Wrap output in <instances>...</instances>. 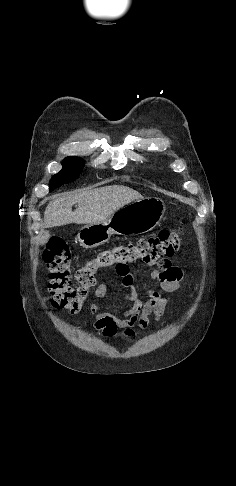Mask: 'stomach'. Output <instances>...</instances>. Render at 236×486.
Wrapping results in <instances>:
<instances>
[{
	"label": "stomach",
	"instance_id": "stomach-1",
	"mask_svg": "<svg viewBox=\"0 0 236 486\" xmlns=\"http://www.w3.org/2000/svg\"><path fill=\"white\" fill-rule=\"evenodd\" d=\"M165 211L166 206L160 198L138 199L121 207L103 222L83 226L77 239L82 247L95 248L107 242L112 234L149 232L162 221Z\"/></svg>",
	"mask_w": 236,
	"mask_h": 486
}]
</instances>
